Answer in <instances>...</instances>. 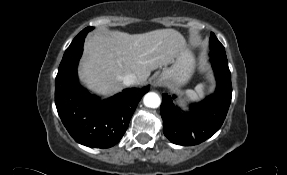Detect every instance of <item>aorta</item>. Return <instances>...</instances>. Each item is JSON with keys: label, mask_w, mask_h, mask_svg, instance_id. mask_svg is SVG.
Segmentation results:
<instances>
[{"label": "aorta", "mask_w": 287, "mask_h": 175, "mask_svg": "<svg viewBox=\"0 0 287 175\" xmlns=\"http://www.w3.org/2000/svg\"><path fill=\"white\" fill-rule=\"evenodd\" d=\"M143 103L146 107L157 108L161 104V99L157 93L149 92L144 96Z\"/></svg>", "instance_id": "1"}]
</instances>
